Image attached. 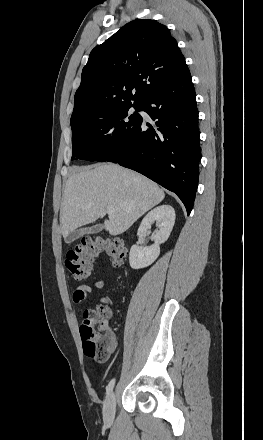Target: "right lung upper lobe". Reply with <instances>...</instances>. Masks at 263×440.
<instances>
[{
    "instance_id": "1",
    "label": "right lung upper lobe",
    "mask_w": 263,
    "mask_h": 440,
    "mask_svg": "<svg viewBox=\"0 0 263 440\" xmlns=\"http://www.w3.org/2000/svg\"><path fill=\"white\" fill-rule=\"evenodd\" d=\"M187 70L165 25L150 19L131 21L91 51L75 94L71 125L95 111L131 100L141 103Z\"/></svg>"
}]
</instances>
